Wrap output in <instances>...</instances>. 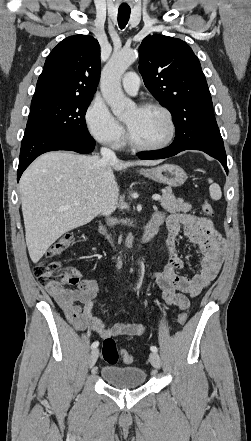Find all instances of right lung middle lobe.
<instances>
[{
    "instance_id": "right-lung-middle-lobe-1",
    "label": "right lung middle lobe",
    "mask_w": 251,
    "mask_h": 441,
    "mask_svg": "<svg viewBox=\"0 0 251 441\" xmlns=\"http://www.w3.org/2000/svg\"><path fill=\"white\" fill-rule=\"evenodd\" d=\"M93 97H52L34 100L27 125H41L73 136L89 137L85 113Z\"/></svg>"
}]
</instances>
